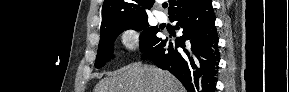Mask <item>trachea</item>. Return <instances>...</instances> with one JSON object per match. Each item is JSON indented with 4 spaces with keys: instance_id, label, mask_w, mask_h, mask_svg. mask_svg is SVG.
<instances>
[{
    "instance_id": "obj_1",
    "label": "trachea",
    "mask_w": 289,
    "mask_h": 92,
    "mask_svg": "<svg viewBox=\"0 0 289 92\" xmlns=\"http://www.w3.org/2000/svg\"><path fill=\"white\" fill-rule=\"evenodd\" d=\"M162 6H163V8H167L168 4L164 3Z\"/></svg>"
}]
</instances>
